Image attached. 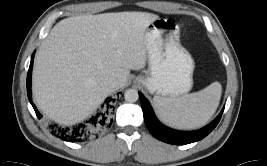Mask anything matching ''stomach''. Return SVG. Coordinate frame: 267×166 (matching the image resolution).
<instances>
[{"instance_id":"stomach-1","label":"stomach","mask_w":267,"mask_h":166,"mask_svg":"<svg viewBox=\"0 0 267 166\" xmlns=\"http://www.w3.org/2000/svg\"><path fill=\"white\" fill-rule=\"evenodd\" d=\"M146 51L148 69L135 82L164 98H175L191 90L194 60L180 44L177 25L168 19L153 21L146 31Z\"/></svg>"}]
</instances>
